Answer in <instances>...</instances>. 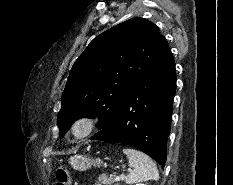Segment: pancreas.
I'll list each match as a JSON object with an SVG mask.
<instances>
[{
	"label": "pancreas",
	"instance_id": "pancreas-1",
	"mask_svg": "<svg viewBox=\"0 0 233 185\" xmlns=\"http://www.w3.org/2000/svg\"><path fill=\"white\" fill-rule=\"evenodd\" d=\"M115 182L114 178L108 177L106 175H101L98 178L96 185H112ZM119 185V184H116Z\"/></svg>",
	"mask_w": 233,
	"mask_h": 185
}]
</instances>
